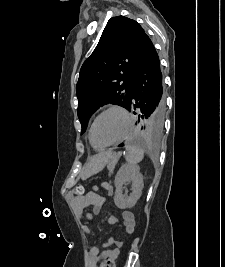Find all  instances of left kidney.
<instances>
[{"instance_id":"obj_1","label":"left kidney","mask_w":225,"mask_h":267,"mask_svg":"<svg viewBox=\"0 0 225 267\" xmlns=\"http://www.w3.org/2000/svg\"><path fill=\"white\" fill-rule=\"evenodd\" d=\"M127 182L132 183V193L128 197L122 194V187ZM114 183L116 187L115 205L120 209L132 208L140 198L144 186L140 168L129 164L123 165L117 172Z\"/></svg>"}]
</instances>
